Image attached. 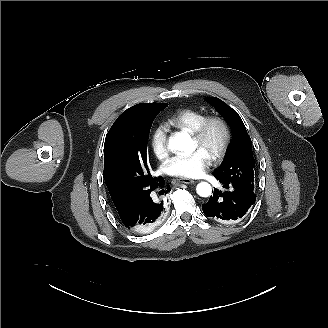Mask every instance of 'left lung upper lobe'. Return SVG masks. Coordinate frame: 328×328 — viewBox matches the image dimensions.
<instances>
[{
    "mask_svg": "<svg viewBox=\"0 0 328 328\" xmlns=\"http://www.w3.org/2000/svg\"><path fill=\"white\" fill-rule=\"evenodd\" d=\"M232 128L233 139L226 156L214 175L226 183H241L254 189L255 160L252 155V142L238 113L216 97L206 99Z\"/></svg>",
    "mask_w": 328,
    "mask_h": 328,
    "instance_id": "5c2ea615",
    "label": "left lung upper lobe"
}]
</instances>
